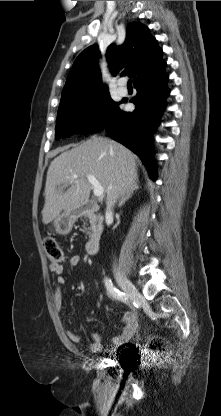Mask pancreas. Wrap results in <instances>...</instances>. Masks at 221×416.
Instances as JSON below:
<instances>
[{"instance_id":"cf45deb5","label":"pancreas","mask_w":221,"mask_h":416,"mask_svg":"<svg viewBox=\"0 0 221 416\" xmlns=\"http://www.w3.org/2000/svg\"><path fill=\"white\" fill-rule=\"evenodd\" d=\"M86 216H87V218L89 220V223L91 225L88 228V230H97V231L101 232V230H102V223H103V217L100 214L99 215L94 214L92 211L87 212L86 213Z\"/></svg>"}]
</instances>
